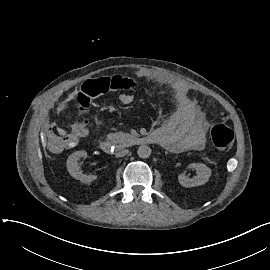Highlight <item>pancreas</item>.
Here are the masks:
<instances>
[{"label":"pancreas","mask_w":270,"mask_h":270,"mask_svg":"<svg viewBox=\"0 0 270 270\" xmlns=\"http://www.w3.org/2000/svg\"><path fill=\"white\" fill-rule=\"evenodd\" d=\"M132 138H133V136H131L130 134L122 133V132L113 133V134L109 135V139L114 142L117 149H123V148L127 147L129 141Z\"/></svg>","instance_id":"1"}]
</instances>
